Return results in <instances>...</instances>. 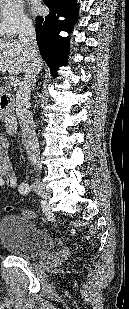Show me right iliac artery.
Listing matches in <instances>:
<instances>
[{"instance_id":"obj_1","label":"right iliac artery","mask_w":129,"mask_h":309,"mask_svg":"<svg viewBox=\"0 0 129 309\" xmlns=\"http://www.w3.org/2000/svg\"><path fill=\"white\" fill-rule=\"evenodd\" d=\"M30 191H31V187L28 184L23 183L19 186V192L21 194L25 195V194H28Z\"/></svg>"}]
</instances>
